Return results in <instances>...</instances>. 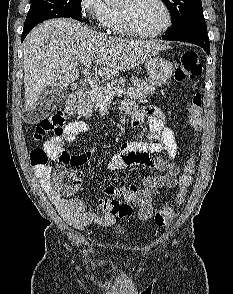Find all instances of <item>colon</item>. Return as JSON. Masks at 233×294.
Wrapping results in <instances>:
<instances>
[{"label":"colon","mask_w":233,"mask_h":294,"mask_svg":"<svg viewBox=\"0 0 233 294\" xmlns=\"http://www.w3.org/2000/svg\"><path fill=\"white\" fill-rule=\"evenodd\" d=\"M203 67L199 55L194 51H187L181 57V62L175 72V79L179 82L185 80H195L202 74ZM189 122L192 130L197 133L202 128L203 122V100L200 92H195L189 104ZM66 116L62 111H57L49 117L40 121L34 132L36 140L43 139L49 133L60 136L64 131ZM52 152L44 147H35L30 153L33 166L48 167ZM194 173V159L189 158L183 168V173L179 178V188L176 195V203L182 204L185 201L188 190L192 184ZM54 187L63 195L73 194L80 186L81 179L72 172L58 169L52 176ZM120 211L123 214H131L133 209L127 204H121ZM174 217V211L169 205H161L155 213L154 221L158 226H167Z\"/></svg>","instance_id":"1"}]
</instances>
